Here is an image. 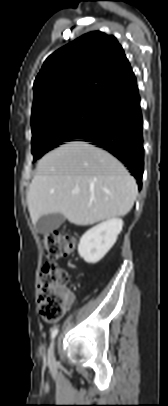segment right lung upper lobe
<instances>
[{
  "label": "right lung upper lobe",
  "instance_id": "1",
  "mask_svg": "<svg viewBox=\"0 0 168 406\" xmlns=\"http://www.w3.org/2000/svg\"><path fill=\"white\" fill-rule=\"evenodd\" d=\"M136 82L114 36L94 31L51 54L34 82L31 123L83 100L102 99Z\"/></svg>",
  "mask_w": 168,
  "mask_h": 406
}]
</instances>
